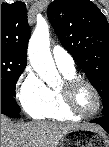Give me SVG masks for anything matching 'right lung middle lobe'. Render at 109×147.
Instances as JSON below:
<instances>
[{
	"mask_svg": "<svg viewBox=\"0 0 109 147\" xmlns=\"http://www.w3.org/2000/svg\"><path fill=\"white\" fill-rule=\"evenodd\" d=\"M25 67L26 63L22 60L1 52V102L15 112L21 111L14 97L17 80Z\"/></svg>",
	"mask_w": 109,
	"mask_h": 147,
	"instance_id": "dd1d6c3e",
	"label": "right lung middle lobe"
}]
</instances>
